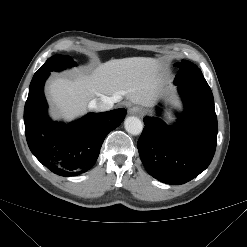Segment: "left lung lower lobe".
<instances>
[{"label":"left lung lower lobe","mask_w":247,"mask_h":247,"mask_svg":"<svg viewBox=\"0 0 247 247\" xmlns=\"http://www.w3.org/2000/svg\"><path fill=\"white\" fill-rule=\"evenodd\" d=\"M177 86L185 113L179 115L173 126L146 117V127L137 143L147 172L171 185L184 184L209 166L218 129L213 94L207 82Z\"/></svg>","instance_id":"obj_1"}]
</instances>
